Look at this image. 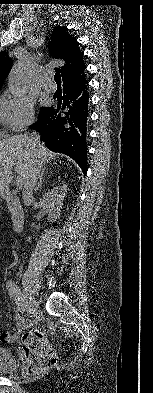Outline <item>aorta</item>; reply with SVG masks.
Returning <instances> with one entry per match:
<instances>
[{
  "mask_svg": "<svg viewBox=\"0 0 153 393\" xmlns=\"http://www.w3.org/2000/svg\"><path fill=\"white\" fill-rule=\"evenodd\" d=\"M14 74L11 79V90L15 92H22L23 87H22V81L24 79V73H25V66L24 65H18L15 67L13 70Z\"/></svg>",
  "mask_w": 153,
  "mask_h": 393,
  "instance_id": "aorta-1",
  "label": "aorta"
}]
</instances>
